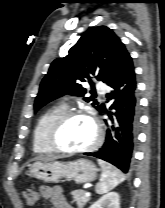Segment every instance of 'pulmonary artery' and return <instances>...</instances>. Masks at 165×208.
<instances>
[{
    "mask_svg": "<svg viewBox=\"0 0 165 208\" xmlns=\"http://www.w3.org/2000/svg\"><path fill=\"white\" fill-rule=\"evenodd\" d=\"M96 87H97V90H98L100 93H104L105 87H104V85H103L102 83L97 84Z\"/></svg>",
    "mask_w": 165,
    "mask_h": 208,
    "instance_id": "pulmonary-artery-1",
    "label": "pulmonary artery"
}]
</instances>
